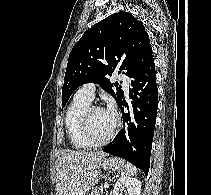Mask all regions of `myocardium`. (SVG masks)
Returning a JSON list of instances; mask_svg holds the SVG:
<instances>
[{
  "label": "myocardium",
  "mask_w": 211,
  "mask_h": 195,
  "mask_svg": "<svg viewBox=\"0 0 211 195\" xmlns=\"http://www.w3.org/2000/svg\"><path fill=\"white\" fill-rule=\"evenodd\" d=\"M99 109H105L103 106L100 105H89L83 112L80 120V128H81V134L85 141L91 145V147H99L107 144L109 141H111L116 133L118 132L120 125H121V120L120 117L118 116L117 113L112 111V114L115 119V124L109 135L102 139V140H95L91 137L90 135V130H89V123H90V117L93 111L99 110Z\"/></svg>",
  "instance_id": "obj_1"
}]
</instances>
